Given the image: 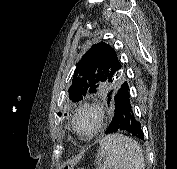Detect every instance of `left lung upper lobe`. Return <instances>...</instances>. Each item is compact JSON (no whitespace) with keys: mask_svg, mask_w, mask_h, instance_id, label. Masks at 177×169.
I'll return each instance as SVG.
<instances>
[{"mask_svg":"<svg viewBox=\"0 0 177 169\" xmlns=\"http://www.w3.org/2000/svg\"><path fill=\"white\" fill-rule=\"evenodd\" d=\"M123 65L113 48L104 42L93 45L77 65L70 99L77 101L86 94H108L113 96L123 83Z\"/></svg>","mask_w":177,"mask_h":169,"instance_id":"left-lung-upper-lobe-1","label":"left lung upper lobe"}]
</instances>
